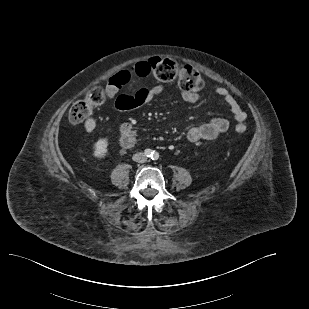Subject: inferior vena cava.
Here are the masks:
<instances>
[{
    "label": "inferior vena cava",
    "mask_w": 309,
    "mask_h": 309,
    "mask_svg": "<svg viewBox=\"0 0 309 309\" xmlns=\"http://www.w3.org/2000/svg\"><path fill=\"white\" fill-rule=\"evenodd\" d=\"M132 159L138 163H144L147 161V157L145 156L144 153L141 152L134 154Z\"/></svg>",
    "instance_id": "602c4592"
}]
</instances>
